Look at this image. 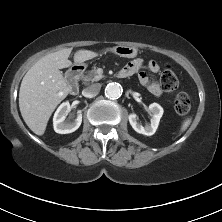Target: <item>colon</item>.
I'll return each instance as SVG.
<instances>
[{
    "label": "colon",
    "mask_w": 222,
    "mask_h": 222,
    "mask_svg": "<svg viewBox=\"0 0 222 222\" xmlns=\"http://www.w3.org/2000/svg\"><path fill=\"white\" fill-rule=\"evenodd\" d=\"M162 89L173 96L175 110L186 115L190 110V98L185 92L178 91V79L170 66H165L160 75Z\"/></svg>",
    "instance_id": "5ec220e1"
}]
</instances>
